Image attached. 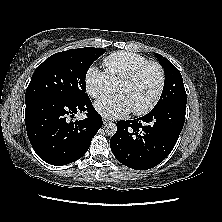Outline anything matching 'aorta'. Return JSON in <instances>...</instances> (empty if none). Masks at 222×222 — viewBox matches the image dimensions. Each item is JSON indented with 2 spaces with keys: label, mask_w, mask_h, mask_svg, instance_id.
Masks as SVG:
<instances>
[{
  "label": "aorta",
  "mask_w": 222,
  "mask_h": 222,
  "mask_svg": "<svg viewBox=\"0 0 222 222\" xmlns=\"http://www.w3.org/2000/svg\"><path fill=\"white\" fill-rule=\"evenodd\" d=\"M104 130H105V133L112 136L116 133L117 131V126L115 123H107L105 124L104 126Z\"/></svg>",
  "instance_id": "obj_1"
}]
</instances>
